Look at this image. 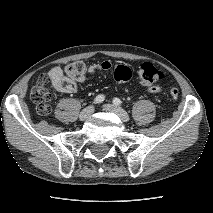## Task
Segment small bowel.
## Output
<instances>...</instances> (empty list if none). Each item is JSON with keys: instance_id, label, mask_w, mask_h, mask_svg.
Instances as JSON below:
<instances>
[{"instance_id": "1", "label": "small bowel", "mask_w": 213, "mask_h": 213, "mask_svg": "<svg viewBox=\"0 0 213 213\" xmlns=\"http://www.w3.org/2000/svg\"><path fill=\"white\" fill-rule=\"evenodd\" d=\"M93 71H97L104 74H111L112 65L108 61H104L97 65L92 66ZM47 80L51 83L53 89L57 93L61 94H70L73 93L76 89V83L73 79L69 78L62 68L56 66L50 69L47 74ZM148 91L151 93H157L159 91L158 86H151L148 88Z\"/></svg>"}]
</instances>
